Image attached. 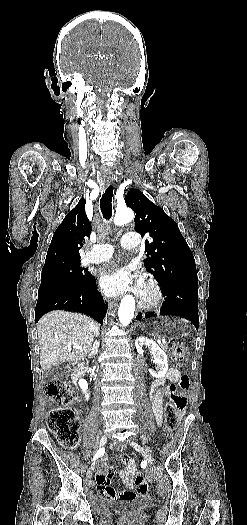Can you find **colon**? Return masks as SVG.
I'll list each match as a JSON object with an SVG mask.
<instances>
[{
	"mask_svg": "<svg viewBox=\"0 0 247 525\" xmlns=\"http://www.w3.org/2000/svg\"><path fill=\"white\" fill-rule=\"evenodd\" d=\"M173 362L182 366L188 359L185 349L172 343L170 346ZM178 385L187 388L189 379L187 375H182ZM45 394L48 398L56 401L63 407L53 408L47 414V425L55 434L58 441L65 447L73 448L79 442V429L81 425L77 409L75 407V394L64 380H51L45 385ZM188 404L185 394H173L165 409V429L167 434L172 435L176 431L178 413L183 412ZM135 485L141 495L147 494L149 485L141 472L135 475Z\"/></svg>",
	"mask_w": 247,
	"mask_h": 525,
	"instance_id": "1",
	"label": "colon"
}]
</instances>
